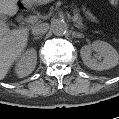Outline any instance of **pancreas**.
Masks as SVG:
<instances>
[{"label": "pancreas", "mask_w": 119, "mask_h": 119, "mask_svg": "<svg viewBox=\"0 0 119 119\" xmlns=\"http://www.w3.org/2000/svg\"><path fill=\"white\" fill-rule=\"evenodd\" d=\"M73 21L75 23V26L79 29H85V26L82 23V18L80 15L76 12L75 16L73 17Z\"/></svg>", "instance_id": "obj_1"}]
</instances>
